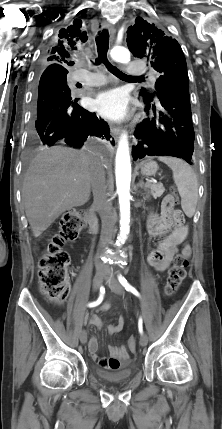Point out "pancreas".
<instances>
[{
    "label": "pancreas",
    "instance_id": "obj_1",
    "mask_svg": "<svg viewBox=\"0 0 222 429\" xmlns=\"http://www.w3.org/2000/svg\"><path fill=\"white\" fill-rule=\"evenodd\" d=\"M147 187L149 188V192L151 193V195L156 199L160 196H162V194L165 191V188L162 184H147Z\"/></svg>",
    "mask_w": 222,
    "mask_h": 429
}]
</instances>
